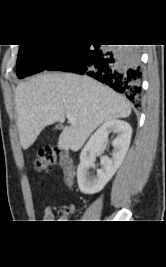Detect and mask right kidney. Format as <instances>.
Here are the masks:
<instances>
[{
	"instance_id": "1",
	"label": "right kidney",
	"mask_w": 166,
	"mask_h": 267,
	"mask_svg": "<svg viewBox=\"0 0 166 267\" xmlns=\"http://www.w3.org/2000/svg\"><path fill=\"white\" fill-rule=\"evenodd\" d=\"M110 133H116L113 140L114 147L112 158H101V169L96 176H90L88 170L93 166L95 157L101 153ZM132 135L131 126L122 120H110L105 122L89 139L80 154V164L77 169V182L80 191L84 194H94L101 191L107 182L113 177L124 160L128 151Z\"/></svg>"
}]
</instances>
